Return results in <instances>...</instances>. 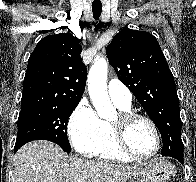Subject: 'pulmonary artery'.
<instances>
[{
    "label": "pulmonary artery",
    "mask_w": 196,
    "mask_h": 182,
    "mask_svg": "<svg viewBox=\"0 0 196 182\" xmlns=\"http://www.w3.org/2000/svg\"><path fill=\"white\" fill-rule=\"evenodd\" d=\"M107 89L108 95L113 102L124 106L131 105V92L122 82L116 79H112L109 81Z\"/></svg>",
    "instance_id": "1"
}]
</instances>
